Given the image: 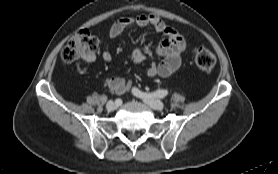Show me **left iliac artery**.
Listing matches in <instances>:
<instances>
[{
    "mask_svg": "<svg viewBox=\"0 0 278 174\" xmlns=\"http://www.w3.org/2000/svg\"><path fill=\"white\" fill-rule=\"evenodd\" d=\"M132 92L134 95L140 98H164L165 96L168 95L167 90H157L153 93H144L140 91L138 88H133Z\"/></svg>",
    "mask_w": 278,
    "mask_h": 174,
    "instance_id": "1",
    "label": "left iliac artery"
}]
</instances>
